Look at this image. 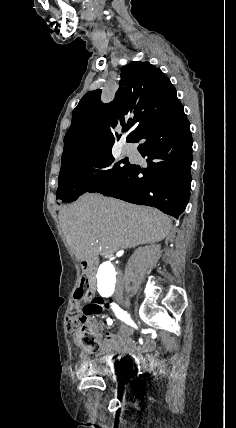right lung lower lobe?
Returning <instances> with one entry per match:
<instances>
[{
	"label": "right lung lower lobe",
	"mask_w": 236,
	"mask_h": 428,
	"mask_svg": "<svg viewBox=\"0 0 236 428\" xmlns=\"http://www.w3.org/2000/svg\"><path fill=\"white\" fill-rule=\"evenodd\" d=\"M148 163L128 164L99 193L130 203L156 207L178 218L190 197L192 136L179 105L162 119L145 126L131 141Z\"/></svg>",
	"instance_id": "98d812e1"
}]
</instances>
